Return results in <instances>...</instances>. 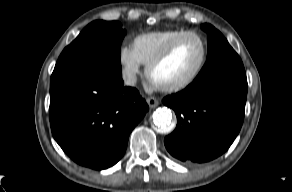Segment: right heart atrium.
Instances as JSON below:
<instances>
[{
	"label": "right heart atrium",
	"instance_id": "obj_1",
	"mask_svg": "<svg viewBox=\"0 0 292 192\" xmlns=\"http://www.w3.org/2000/svg\"><path fill=\"white\" fill-rule=\"evenodd\" d=\"M118 61L121 66V73L126 83L133 85L141 72L142 63L139 60L133 47L122 45L118 51Z\"/></svg>",
	"mask_w": 292,
	"mask_h": 192
}]
</instances>
